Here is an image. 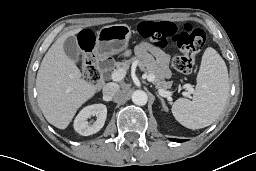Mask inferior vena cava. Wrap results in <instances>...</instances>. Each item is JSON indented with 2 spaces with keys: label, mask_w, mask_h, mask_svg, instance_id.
<instances>
[{
  "label": "inferior vena cava",
  "mask_w": 256,
  "mask_h": 171,
  "mask_svg": "<svg viewBox=\"0 0 256 171\" xmlns=\"http://www.w3.org/2000/svg\"><path fill=\"white\" fill-rule=\"evenodd\" d=\"M119 91V86L116 83H107L103 87V96L107 100L113 99Z\"/></svg>",
  "instance_id": "602c4592"
}]
</instances>
